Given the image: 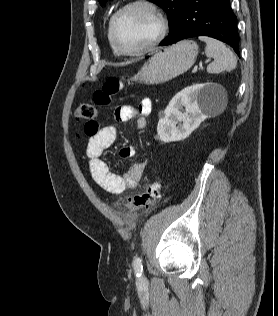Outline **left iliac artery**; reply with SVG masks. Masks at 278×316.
I'll return each instance as SVG.
<instances>
[{"label": "left iliac artery", "mask_w": 278, "mask_h": 316, "mask_svg": "<svg viewBox=\"0 0 278 316\" xmlns=\"http://www.w3.org/2000/svg\"><path fill=\"white\" fill-rule=\"evenodd\" d=\"M134 270L137 274V276H141L142 275V271H143V267H142V260L140 257H136L134 259Z\"/></svg>", "instance_id": "44dca946"}]
</instances>
